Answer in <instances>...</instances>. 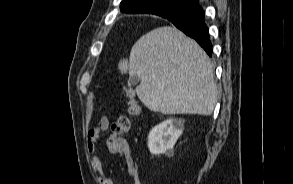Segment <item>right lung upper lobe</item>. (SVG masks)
Wrapping results in <instances>:
<instances>
[{
	"mask_svg": "<svg viewBox=\"0 0 293 184\" xmlns=\"http://www.w3.org/2000/svg\"><path fill=\"white\" fill-rule=\"evenodd\" d=\"M199 0H122L121 12L127 14L172 15L176 10L198 4Z\"/></svg>",
	"mask_w": 293,
	"mask_h": 184,
	"instance_id": "obj_1",
	"label": "right lung upper lobe"
}]
</instances>
